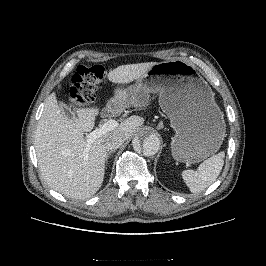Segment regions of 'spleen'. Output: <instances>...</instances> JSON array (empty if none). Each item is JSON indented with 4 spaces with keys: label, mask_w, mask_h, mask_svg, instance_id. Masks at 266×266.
<instances>
[{
    "label": "spleen",
    "mask_w": 266,
    "mask_h": 266,
    "mask_svg": "<svg viewBox=\"0 0 266 266\" xmlns=\"http://www.w3.org/2000/svg\"><path fill=\"white\" fill-rule=\"evenodd\" d=\"M224 152L206 159L197 170H184L182 178L192 193H199L209 187L219 176L224 165Z\"/></svg>",
    "instance_id": "spleen-1"
}]
</instances>
